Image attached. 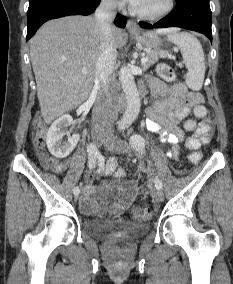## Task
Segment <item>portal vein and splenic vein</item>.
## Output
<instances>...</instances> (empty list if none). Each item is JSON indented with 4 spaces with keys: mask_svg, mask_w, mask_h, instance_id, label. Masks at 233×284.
Listing matches in <instances>:
<instances>
[{
    "mask_svg": "<svg viewBox=\"0 0 233 284\" xmlns=\"http://www.w3.org/2000/svg\"><path fill=\"white\" fill-rule=\"evenodd\" d=\"M148 61V58L147 57H142V59H141V63H145V62H147ZM87 72V70L85 69V68H83L82 69V73H86Z\"/></svg>",
    "mask_w": 233,
    "mask_h": 284,
    "instance_id": "portal-vein-and-splenic-vein-1",
    "label": "portal vein and splenic vein"
}]
</instances>
